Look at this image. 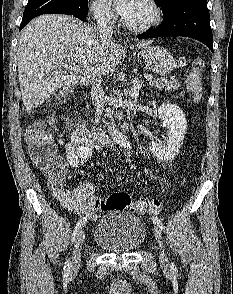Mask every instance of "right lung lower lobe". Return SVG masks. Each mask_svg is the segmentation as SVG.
Listing matches in <instances>:
<instances>
[{
  "instance_id": "1",
  "label": "right lung lower lobe",
  "mask_w": 233,
  "mask_h": 294,
  "mask_svg": "<svg viewBox=\"0 0 233 294\" xmlns=\"http://www.w3.org/2000/svg\"><path fill=\"white\" fill-rule=\"evenodd\" d=\"M88 14V6L86 8H83V9H80V10H77L69 15H73L77 18H79L80 20H84L86 18ZM28 22H22L21 25H20V30L27 24Z\"/></svg>"
}]
</instances>
